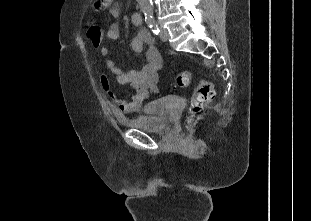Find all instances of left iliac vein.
Returning <instances> with one entry per match:
<instances>
[{
	"label": "left iliac vein",
	"instance_id": "1",
	"mask_svg": "<svg viewBox=\"0 0 311 221\" xmlns=\"http://www.w3.org/2000/svg\"><path fill=\"white\" fill-rule=\"evenodd\" d=\"M160 39L163 42H166L169 39V33L165 28H161V30H160Z\"/></svg>",
	"mask_w": 311,
	"mask_h": 221
}]
</instances>
